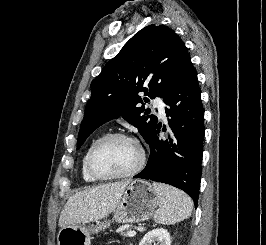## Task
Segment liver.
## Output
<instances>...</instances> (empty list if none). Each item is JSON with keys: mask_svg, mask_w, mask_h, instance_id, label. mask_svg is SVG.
Masks as SVG:
<instances>
[{"mask_svg": "<svg viewBox=\"0 0 266 245\" xmlns=\"http://www.w3.org/2000/svg\"><path fill=\"white\" fill-rule=\"evenodd\" d=\"M130 183L131 181L108 183V185H98V187H90V189L76 193L68 199L61 211L60 227L81 225V223L85 225V223H94V221L104 219L116 209L119 199Z\"/></svg>", "mask_w": 266, "mask_h": 245, "instance_id": "6515ba94", "label": "liver"}]
</instances>
